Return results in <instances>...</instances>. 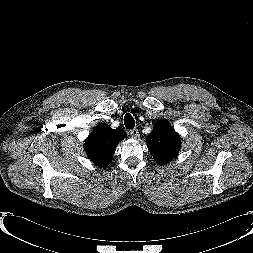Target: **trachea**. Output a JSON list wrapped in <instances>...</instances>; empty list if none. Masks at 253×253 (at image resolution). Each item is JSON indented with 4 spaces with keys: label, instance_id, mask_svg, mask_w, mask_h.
<instances>
[{
    "label": "trachea",
    "instance_id": "3493384b",
    "mask_svg": "<svg viewBox=\"0 0 253 253\" xmlns=\"http://www.w3.org/2000/svg\"><path fill=\"white\" fill-rule=\"evenodd\" d=\"M124 124L127 129H133L135 127V121L131 114L127 113L125 115Z\"/></svg>",
    "mask_w": 253,
    "mask_h": 253
}]
</instances>
